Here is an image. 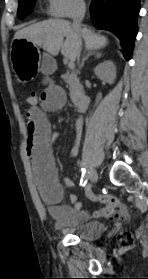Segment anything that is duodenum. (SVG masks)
<instances>
[{
    "mask_svg": "<svg viewBox=\"0 0 148 279\" xmlns=\"http://www.w3.org/2000/svg\"><path fill=\"white\" fill-rule=\"evenodd\" d=\"M90 103V97L88 95H82L76 102L75 105L78 109L82 110L88 107Z\"/></svg>",
    "mask_w": 148,
    "mask_h": 279,
    "instance_id": "duodenum-1",
    "label": "duodenum"
}]
</instances>
